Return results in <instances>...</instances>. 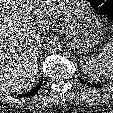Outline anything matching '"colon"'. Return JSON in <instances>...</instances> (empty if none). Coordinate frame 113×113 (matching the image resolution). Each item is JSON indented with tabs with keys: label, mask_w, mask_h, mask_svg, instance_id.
I'll return each instance as SVG.
<instances>
[{
	"label": "colon",
	"mask_w": 113,
	"mask_h": 113,
	"mask_svg": "<svg viewBox=\"0 0 113 113\" xmlns=\"http://www.w3.org/2000/svg\"><path fill=\"white\" fill-rule=\"evenodd\" d=\"M106 17L113 19V0H90Z\"/></svg>",
	"instance_id": "5ec220e1"
}]
</instances>
